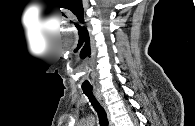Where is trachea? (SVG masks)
I'll use <instances>...</instances> for the list:
<instances>
[{
	"label": "trachea",
	"mask_w": 195,
	"mask_h": 126,
	"mask_svg": "<svg viewBox=\"0 0 195 126\" xmlns=\"http://www.w3.org/2000/svg\"><path fill=\"white\" fill-rule=\"evenodd\" d=\"M84 94L88 97L92 106L98 114L99 122L101 126H108L107 114L101 104L95 99L92 92V87H83L82 88Z\"/></svg>",
	"instance_id": "3493384b"
}]
</instances>
